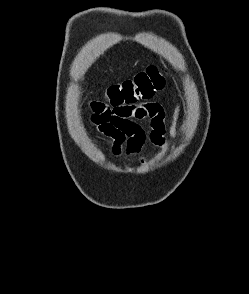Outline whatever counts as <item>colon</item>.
<instances>
[{
	"label": "colon",
	"instance_id": "5ec220e1",
	"mask_svg": "<svg viewBox=\"0 0 249 294\" xmlns=\"http://www.w3.org/2000/svg\"><path fill=\"white\" fill-rule=\"evenodd\" d=\"M164 83V73L155 65L149 66L134 78L110 86L106 93L107 103L117 106L150 99Z\"/></svg>",
	"mask_w": 249,
	"mask_h": 294
}]
</instances>
